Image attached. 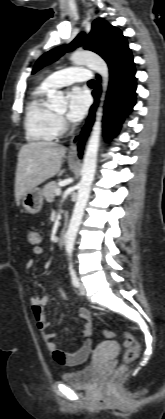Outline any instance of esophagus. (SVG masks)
I'll return each instance as SVG.
<instances>
[{"label":"esophagus","instance_id":"esophagus-1","mask_svg":"<svg viewBox=\"0 0 165 419\" xmlns=\"http://www.w3.org/2000/svg\"><path fill=\"white\" fill-rule=\"evenodd\" d=\"M81 133H82V128L79 131H77V133L71 139L70 148L68 152V155L71 157H75L78 154L77 144L80 139Z\"/></svg>","mask_w":165,"mask_h":419}]
</instances>
